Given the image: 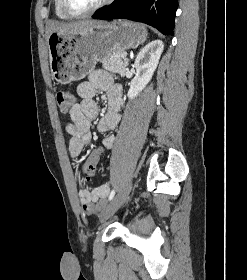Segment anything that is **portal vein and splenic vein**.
<instances>
[{"label": "portal vein and splenic vein", "mask_w": 247, "mask_h": 280, "mask_svg": "<svg viewBox=\"0 0 247 280\" xmlns=\"http://www.w3.org/2000/svg\"><path fill=\"white\" fill-rule=\"evenodd\" d=\"M124 61H125V62H127V61H128V59L125 57V58H124Z\"/></svg>", "instance_id": "1"}]
</instances>
